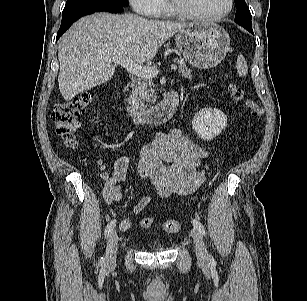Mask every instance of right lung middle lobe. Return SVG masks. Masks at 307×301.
<instances>
[{
  "mask_svg": "<svg viewBox=\"0 0 307 301\" xmlns=\"http://www.w3.org/2000/svg\"><path fill=\"white\" fill-rule=\"evenodd\" d=\"M97 5L127 6L128 0H67L62 15Z\"/></svg>",
  "mask_w": 307,
  "mask_h": 301,
  "instance_id": "right-lung-middle-lobe-1",
  "label": "right lung middle lobe"
}]
</instances>
